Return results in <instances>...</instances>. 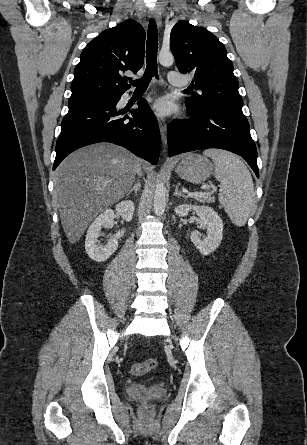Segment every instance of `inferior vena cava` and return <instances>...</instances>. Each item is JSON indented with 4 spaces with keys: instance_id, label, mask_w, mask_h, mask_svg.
I'll list each match as a JSON object with an SVG mask.
<instances>
[{
    "instance_id": "inferior-vena-cava-1",
    "label": "inferior vena cava",
    "mask_w": 307,
    "mask_h": 445,
    "mask_svg": "<svg viewBox=\"0 0 307 445\" xmlns=\"http://www.w3.org/2000/svg\"><path fill=\"white\" fill-rule=\"evenodd\" d=\"M136 172H138V174H140V172H141L140 168H137Z\"/></svg>"
}]
</instances>
